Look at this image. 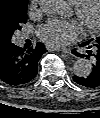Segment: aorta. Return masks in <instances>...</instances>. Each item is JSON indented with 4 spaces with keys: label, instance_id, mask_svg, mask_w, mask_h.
<instances>
[{
    "label": "aorta",
    "instance_id": "obj_1",
    "mask_svg": "<svg viewBox=\"0 0 100 118\" xmlns=\"http://www.w3.org/2000/svg\"><path fill=\"white\" fill-rule=\"evenodd\" d=\"M43 10L51 16L64 17L69 13V5L66 0H42ZM75 75L87 77L92 71V65L88 59L78 58L73 65Z\"/></svg>",
    "mask_w": 100,
    "mask_h": 118
}]
</instances>
